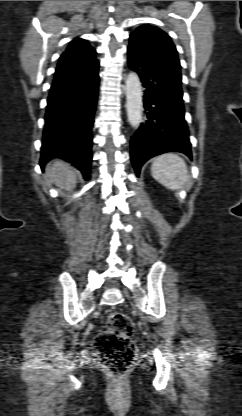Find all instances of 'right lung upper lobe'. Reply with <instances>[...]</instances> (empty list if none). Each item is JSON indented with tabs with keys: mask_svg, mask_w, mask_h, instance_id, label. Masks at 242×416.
<instances>
[{
	"mask_svg": "<svg viewBox=\"0 0 242 416\" xmlns=\"http://www.w3.org/2000/svg\"><path fill=\"white\" fill-rule=\"evenodd\" d=\"M96 51L83 39L71 41L59 58L54 82L85 77L99 67L95 59Z\"/></svg>",
	"mask_w": 242,
	"mask_h": 416,
	"instance_id": "1",
	"label": "right lung upper lobe"
}]
</instances>
